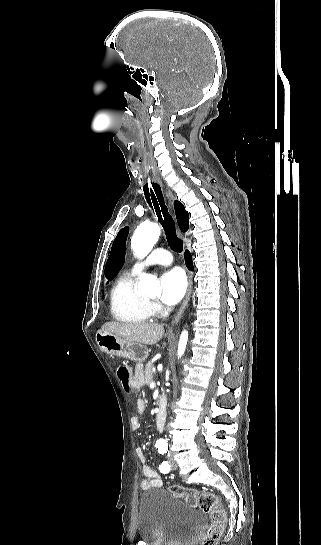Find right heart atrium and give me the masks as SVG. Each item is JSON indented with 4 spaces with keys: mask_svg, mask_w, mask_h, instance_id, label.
Returning <instances> with one entry per match:
<instances>
[{
    "mask_svg": "<svg viewBox=\"0 0 321 545\" xmlns=\"http://www.w3.org/2000/svg\"><path fill=\"white\" fill-rule=\"evenodd\" d=\"M150 308L152 309V311L156 314V315H159L160 312H161V309L158 305H151Z\"/></svg>",
    "mask_w": 321,
    "mask_h": 545,
    "instance_id": "obj_1",
    "label": "right heart atrium"
}]
</instances>
